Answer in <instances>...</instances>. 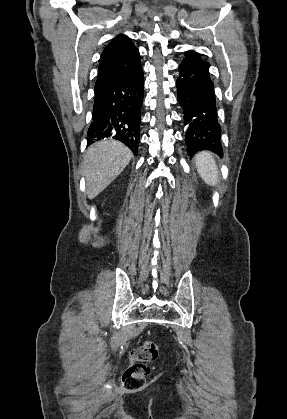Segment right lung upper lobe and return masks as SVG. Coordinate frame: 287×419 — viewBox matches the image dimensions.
I'll return each mask as SVG.
<instances>
[{"label":"right lung upper lobe","instance_id":"cb5924a9","mask_svg":"<svg viewBox=\"0 0 287 419\" xmlns=\"http://www.w3.org/2000/svg\"><path fill=\"white\" fill-rule=\"evenodd\" d=\"M141 65L140 55L131 39L125 35L115 37L99 59L95 89L133 73Z\"/></svg>","mask_w":287,"mask_h":419}]
</instances>
